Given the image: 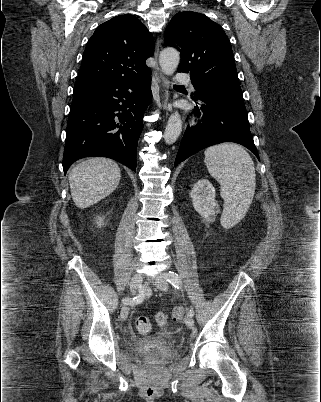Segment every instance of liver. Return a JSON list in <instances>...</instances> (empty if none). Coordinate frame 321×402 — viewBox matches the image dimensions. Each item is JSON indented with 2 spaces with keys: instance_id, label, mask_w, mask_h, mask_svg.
Wrapping results in <instances>:
<instances>
[{
  "instance_id": "obj_1",
  "label": "liver",
  "mask_w": 321,
  "mask_h": 402,
  "mask_svg": "<svg viewBox=\"0 0 321 402\" xmlns=\"http://www.w3.org/2000/svg\"><path fill=\"white\" fill-rule=\"evenodd\" d=\"M121 173L112 160L102 157L80 162L69 173L72 199L84 209L110 195L118 186Z\"/></svg>"
}]
</instances>
